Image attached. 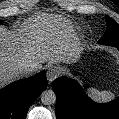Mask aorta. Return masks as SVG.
<instances>
[{
    "mask_svg": "<svg viewBox=\"0 0 119 119\" xmlns=\"http://www.w3.org/2000/svg\"><path fill=\"white\" fill-rule=\"evenodd\" d=\"M40 100L44 105H51L56 102V95L53 90H45L40 95Z\"/></svg>",
    "mask_w": 119,
    "mask_h": 119,
    "instance_id": "762f6f07",
    "label": "aorta"
}]
</instances>
